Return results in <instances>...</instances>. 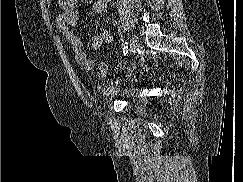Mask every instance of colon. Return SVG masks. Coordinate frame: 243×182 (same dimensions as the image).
Segmentation results:
<instances>
[{"label":"colon","instance_id":"1","mask_svg":"<svg viewBox=\"0 0 243 182\" xmlns=\"http://www.w3.org/2000/svg\"><path fill=\"white\" fill-rule=\"evenodd\" d=\"M97 74L99 77H106L108 74V68L104 63H100L97 68Z\"/></svg>","mask_w":243,"mask_h":182}]
</instances>
